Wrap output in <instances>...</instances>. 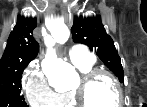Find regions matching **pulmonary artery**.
<instances>
[{
	"label": "pulmonary artery",
	"mask_w": 147,
	"mask_h": 107,
	"mask_svg": "<svg viewBox=\"0 0 147 107\" xmlns=\"http://www.w3.org/2000/svg\"><path fill=\"white\" fill-rule=\"evenodd\" d=\"M70 61L74 65H86L94 63L95 59L84 46L74 45L69 50Z\"/></svg>",
	"instance_id": "1"
}]
</instances>
